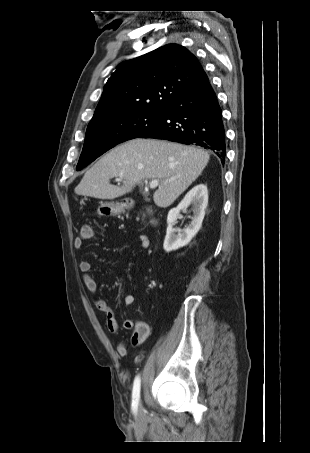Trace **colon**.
Listing matches in <instances>:
<instances>
[{
    "label": "colon",
    "mask_w": 310,
    "mask_h": 453,
    "mask_svg": "<svg viewBox=\"0 0 310 453\" xmlns=\"http://www.w3.org/2000/svg\"><path fill=\"white\" fill-rule=\"evenodd\" d=\"M92 234V228L88 224H84L81 228V235L83 237H89Z\"/></svg>",
    "instance_id": "colon-1"
}]
</instances>
